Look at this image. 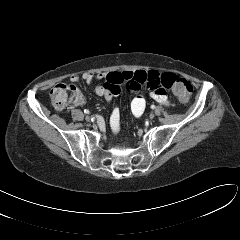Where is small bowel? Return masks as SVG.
<instances>
[{
    "label": "small bowel",
    "instance_id": "small-bowel-1",
    "mask_svg": "<svg viewBox=\"0 0 240 240\" xmlns=\"http://www.w3.org/2000/svg\"><path fill=\"white\" fill-rule=\"evenodd\" d=\"M83 79L87 83H92L95 80H103V84L95 88V93L103 97L107 102H110L113 97L120 93V85L125 84L128 91L135 95L131 101V111L137 118L141 117L145 108L146 100L139 94L144 89L147 90L150 96L160 104L168 105L169 100L165 88L161 84V75L158 71L151 70H137V71H124V72H110L94 74L85 72L81 76L78 74H71L69 80L73 83ZM75 106L84 104V97L79 92L72 100ZM100 126L103 125V120L98 118ZM120 122V110L115 108L110 117L112 128L117 131Z\"/></svg>",
    "mask_w": 240,
    "mask_h": 240
}]
</instances>
